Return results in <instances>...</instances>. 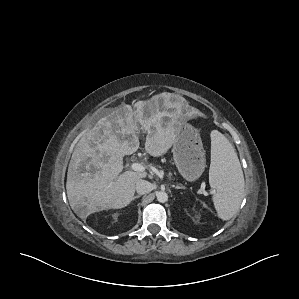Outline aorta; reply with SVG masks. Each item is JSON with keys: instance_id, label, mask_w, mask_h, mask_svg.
Returning a JSON list of instances; mask_svg holds the SVG:
<instances>
[{"instance_id": "aorta-1", "label": "aorta", "mask_w": 299, "mask_h": 299, "mask_svg": "<svg viewBox=\"0 0 299 299\" xmlns=\"http://www.w3.org/2000/svg\"><path fill=\"white\" fill-rule=\"evenodd\" d=\"M157 200L160 203H165L168 200V194L164 191H160L156 194Z\"/></svg>"}]
</instances>
